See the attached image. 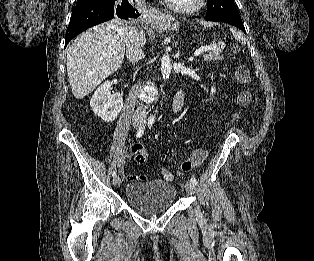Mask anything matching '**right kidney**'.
Returning <instances> with one entry per match:
<instances>
[{
  "instance_id": "obj_1",
  "label": "right kidney",
  "mask_w": 314,
  "mask_h": 261,
  "mask_svg": "<svg viewBox=\"0 0 314 261\" xmlns=\"http://www.w3.org/2000/svg\"><path fill=\"white\" fill-rule=\"evenodd\" d=\"M93 112L105 122L114 121L123 108V95L111 94V82L105 81L95 91L90 101Z\"/></svg>"
}]
</instances>
